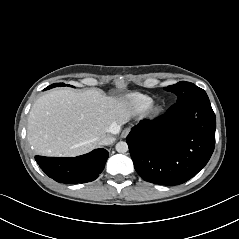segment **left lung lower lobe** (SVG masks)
Listing matches in <instances>:
<instances>
[{"mask_svg": "<svg viewBox=\"0 0 239 239\" xmlns=\"http://www.w3.org/2000/svg\"><path fill=\"white\" fill-rule=\"evenodd\" d=\"M216 118L205 92L172 105L154 120H143L126 138L134 167L146 181L182 184L209 161Z\"/></svg>", "mask_w": 239, "mask_h": 239, "instance_id": "0a47b994", "label": "left lung lower lobe"}]
</instances>
